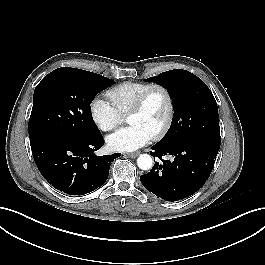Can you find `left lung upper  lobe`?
<instances>
[{
  "label": "left lung upper lobe",
  "instance_id": "1",
  "mask_svg": "<svg viewBox=\"0 0 265 265\" xmlns=\"http://www.w3.org/2000/svg\"><path fill=\"white\" fill-rule=\"evenodd\" d=\"M146 80L167 88L174 105L171 126L158 144L194 139L220 147L217 103L199 77L186 70L175 69Z\"/></svg>",
  "mask_w": 265,
  "mask_h": 265
}]
</instances>
